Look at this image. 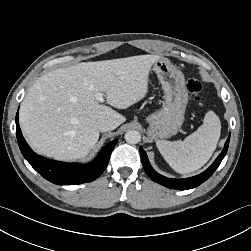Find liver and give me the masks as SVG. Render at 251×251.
<instances>
[{"label":"liver","instance_id":"liver-1","mask_svg":"<svg viewBox=\"0 0 251 251\" xmlns=\"http://www.w3.org/2000/svg\"><path fill=\"white\" fill-rule=\"evenodd\" d=\"M161 57L138 55L82 62L42 75L22 102L19 122L30 146L57 160L84 158L99 139L97 121L116 127L125 117L99 104L98 93L109 105L126 109L145 97L152 65Z\"/></svg>","mask_w":251,"mask_h":251}]
</instances>
